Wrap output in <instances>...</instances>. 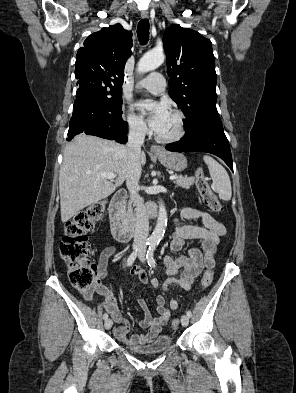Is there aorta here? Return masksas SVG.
<instances>
[{
	"instance_id": "762f6f07",
	"label": "aorta",
	"mask_w": 296,
	"mask_h": 393,
	"mask_svg": "<svg viewBox=\"0 0 296 393\" xmlns=\"http://www.w3.org/2000/svg\"><path fill=\"white\" fill-rule=\"evenodd\" d=\"M164 54L159 51L147 52L138 62L137 70L139 73H146L158 68L164 62ZM167 227V212L162 201L159 202L158 219L153 233L150 236V242L158 243L164 236Z\"/></svg>"
}]
</instances>
